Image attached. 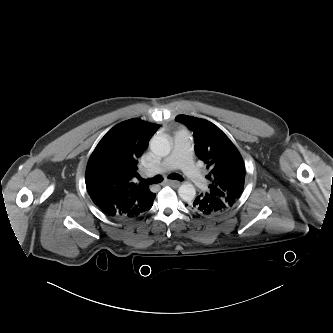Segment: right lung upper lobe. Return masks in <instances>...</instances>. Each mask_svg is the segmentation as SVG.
<instances>
[{"label": "right lung upper lobe", "instance_id": "1", "mask_svg": "<svg viewBox=\"0 0 333 333\" xmlns=\"http://www.w3.org/2000/svg\"><path fill=\"white\" fill-rule=\"evenodd\" d=\"M160 125L134 118L109 130L96 146L86 168V188L95 205L114 204L127 212H142L152 192L137 173V159Z\"/></svg>", "mask_w": 333, "mask_h": 333}]
</instances>
